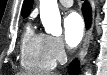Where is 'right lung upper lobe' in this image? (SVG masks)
Returning a JSON list of instances; mask_svg holds the SVG:
<instances>
[{
  "mask_svg": "<svg viewBox=\"0 0 107 75\" xmlns=\"http://www.w3.org/2000/svg\"><path fill=\"white\" fill-rule=\"evenodd\" d=\"M33 1L34 0H24V4L22 7V16L25 18L29 15L32 6H33Z\"/></svg>",
  "mask_w": 107,
  "mask_h": 75,
  "instance_id": "cb5924a9",
  "label": "right lung upper lobe"
}]
</instances>
